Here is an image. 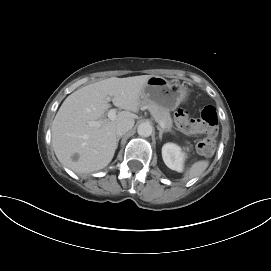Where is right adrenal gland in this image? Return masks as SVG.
<instances>
[{"label": "right adrenal gland", "mask_w": 271, "mask_h": 271, "mask_svg": "<svg viewBox=\"0 0 271 271\" xmlns=\"http://www.w3.org/2000/svg\"><path fill=\"white\" fill-rule=\"evenodd\" d=\"M120 139H121V136H118L117 137V145H118V142H119Z\"/></svg>", "instance_id": "right-adrenal-gland-1"}]
</instances>
